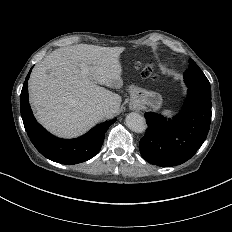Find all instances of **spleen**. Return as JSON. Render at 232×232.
I'll use <instances>...</instances> for the list:
<instances>
[{"instance_id":"spleen-1","label":"spleen","mask_w":232,"mask_h":232,"mask_svg":"<svg viewBox=\"0 0 232 232\" xmlns=\"http://www.w3.org/2000/svg\"><path fill=\"white\" fill-rule=\"evenodd\" d=\"M163 114L170 117L172 115V112L170 110H164Z\"/></svg>"}]
</instances>
